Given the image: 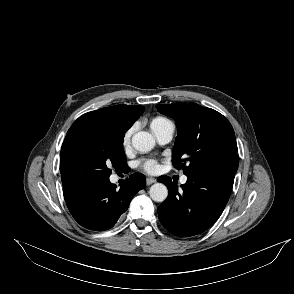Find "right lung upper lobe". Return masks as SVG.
<instances>
[{
  "label": "right lung upper lobe",
  "mask_w": 294,
  "mask_h": 294,
  "mask_svg": "<svg viewBox=\"0 0 294 294\" xmlns=\"http://www.w3.org/2000/svg\"><path fill=\"white\" fill-rule=\"evenodd\" d=\"M143 106L116 105L88 112L79 117L71 127L77 125H107L127 131L144 112Z\"/></svg>",
  "instance_id": "1"
}]
</instances>
